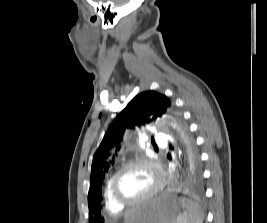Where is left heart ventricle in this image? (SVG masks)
Here are the masks:
<instances>
[{
	"mask_svg": "<svg viewBox=\"0 0 267 223\" xmlns=\"http://www.w3.org/2000/svg\"><path fill=\"white\" fill-rule=\"evenodd\" d=\"M155 180V174L149 167L144 165L131 166L118 177L116 190L122 199L136 200L153 188Z\"/></svg>",
	"mask_w": 267,
	"mask_h": 223,
	"instance_id": "obj_1",
	"label": "left heart ventricle"
}]
</instances>
